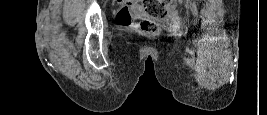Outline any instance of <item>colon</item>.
Returning a JSON list of instances; mask_svg holds the SVG:
<instances>
[{
  "label": "colon",
  "mask_w": 267,
  "mask_h": 115,
  "mask_svg": "<svg viewBox=\"0 0 267 115\" xmlns=\"http://www.w3.org/2000/svg\"><path fill=\"white\" fill-rule=\"evenodd\" d=\"M174 0H146V11L157 20H163L167 15V7ZM117 21L123 26L134 25L144 35L154 36L160 32L159 25L151 20L136 17L128 5H123L117 13Z\"/></svg>",
  "instance_id": "colon-1"
}]
</instances>
